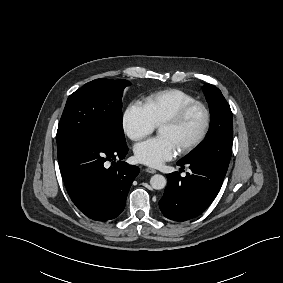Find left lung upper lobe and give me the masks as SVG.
<instances>
[{
    "label": "left lung upper lobe",
    "mask_w": 283,
    "mask_h": 283,
    "mask_svg": "<svg viewBox=\"0 0 283 283\" xmlns=\"http://www.w3.org/2000/svg\"><path fill=\"white\" fill-rule=\"evenodd\" d=\"M202 89L211 113L210 130L203 142L181 161L208 160L228 168L233 144L232 112L217 87L207 83Z\"/></svg>",
    "instance_id": "5c2ea615"
}]
</instances>
